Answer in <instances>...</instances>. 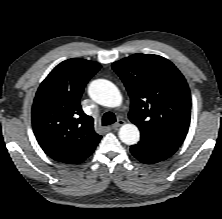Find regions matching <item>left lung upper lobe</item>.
<instances>
[{"label": "left lung upper lobe", "instance_id": "obj_1", "mask_svg": "<svg viewBox=\"0 0 222 219\" xmlns=\"http://www.w3.org/2000/svg\"><path fill=\"white\" fill-rule=\"evenodd\" d=\"M112 68L128 91V116L141 135L180 146L190 124L191 96L174 64L158 55L134 54Z\"/></svg>", "mask_w": 222, "mask_h": 219}]
</instances>
